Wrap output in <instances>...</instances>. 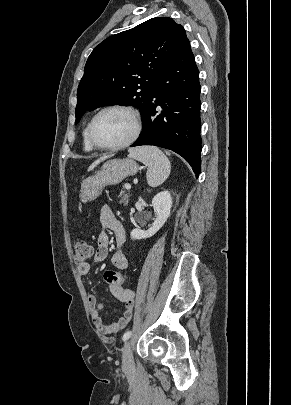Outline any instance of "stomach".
Instances as JSON below:
<instances>
[{
	"mask_svg": "<svg viewBox=\"0 0 291 405\" xmlns=\"http://www.w3.org/2000/svg\"><path fill=\"white\" fill-rule=\"evenodd\" d=\"M139 170L132 159H112L107 161L93 176L82 182L80 198L82 202L95 200L103 189L109 185H116L126 177L135 175Z\"/></svg>",
	"mask_w": 291,
	"mask_h": 405,
	"instance_id": "obj_1",
	"label": "stomach"
}]
</instances>
